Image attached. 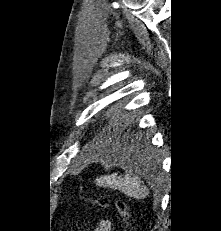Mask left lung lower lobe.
I'll list each match as a JSON object with an SVG mask.
<instances>
[{"label": "left lung lower lobe", "instance_id": "1", "mask_svg": "<svg viewBox=\"0 0 221 231\" xmlns=\"http://www.w3.org/2000/svg\"><path fill=\"white\" fill-rule=\"evenodd\" d=\"M131 132L132 130L125 129L123 132H121V134L116 136L117 141H121L124 144L121 150L125 154L132 153L134 150V147L129 146L132 138Z\"/></svg>", "mask_w": 221, "mask_h": 231}]
</instances>
